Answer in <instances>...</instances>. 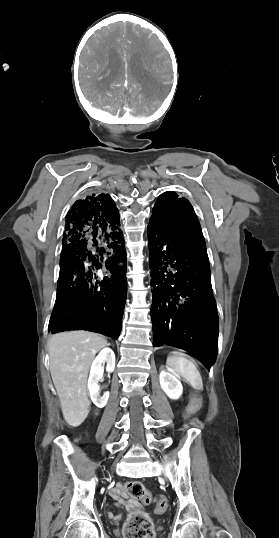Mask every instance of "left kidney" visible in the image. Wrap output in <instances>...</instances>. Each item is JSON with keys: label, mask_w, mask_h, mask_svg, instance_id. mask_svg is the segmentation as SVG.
Here are the masks:
<instances>
[{"label": "left kidney", "mask_w": 279, "mask_h": 538, "mask_svg": "<svg viewBox=\"0 0 279 538\" xmlns=\"http://www.w3.org/2000/svg\"><path fill=\"white\" fill-rule=\"evenodd\" d=\"M159 380L163 392H165L171 400H178V398L182 396L183 386L180 380H178V376L175 372H172V370H167V372L166 370H161Z\"/></svg>", "instance_id": "5707ae66"}]
</instances>
